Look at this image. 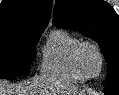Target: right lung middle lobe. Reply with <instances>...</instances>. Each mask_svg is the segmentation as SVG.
<instances>
[{"label": "right lung middle lobe", "instance_id": "dd1d6c3e", "mask_svg": "<svg viewBox=\"0 0 119 95\" xmlns=\"http://www.w3.org/2000/svg\"><path fill=\"white\" fill-rule=\"evenodd\" d=\"M44 30L16 29L0 34V79L29 72L35 46Z\"/></svg>", "mask_w": 119, "mask_h": 95}]
</instances>
